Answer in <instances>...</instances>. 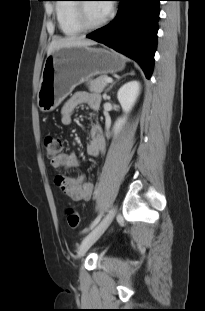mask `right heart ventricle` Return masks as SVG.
<instances>
[{
  "instance_id": "right-heart-ventricle-1",
  "label": "right heart ventricle",
  "mask_w": 205,
  "mask_h": 311,
  "mask_svg": "<svg viewBox=\"0 0 205 311\" xmlns=\"http://www.w3.org/2000/svg\"><path fill=\"white\" fill-rule=\"evenodd\" d=\"M72 1L74 0H59L55 7L58 26L66 36H75L83 31L75 19V4L68 3Z\"/></svg>"
}]
</instances>
